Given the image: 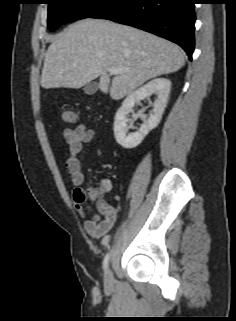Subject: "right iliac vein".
<instances>
[{
	"mask_svg": "<svg viewBox=\"0 0 236 321\" xmlns=\"http://www.w3.org/2000/svg\"><path fill=\"white\" fill-rule=\"evenodd\" d=\"M104 281H105V286L108 288L113 285V274L110 268L106 269Z\"/></svg>",
	"mask_w": 236,
	"mask_h": 321,
	"instance_id": "63e3f726",
	"label": "right iliac vein"
}]
</instances>
